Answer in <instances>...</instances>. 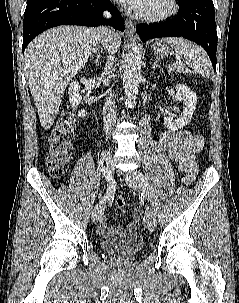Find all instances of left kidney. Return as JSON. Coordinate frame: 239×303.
<instances>
[{
  "instance_id": "5707ae66",
  "label": "left kidney",
  "mask_w": 239,
  "mask_h": 303,
  "mask_svg": "<svg viewBox=\"0 0 239 303\" xmlns=\"http://www.w3.org/2000/svg\"><path fill=\"white\" fill-rule=\"evenodd\" d=\"M176 99L182 102L185 107L182 113L179 115V118H164V125L172 131L181 129L190 123L197 104L196 94L185 85L179 84L176 86Z\"/></svg>"
}]
</instances>
